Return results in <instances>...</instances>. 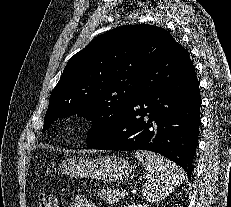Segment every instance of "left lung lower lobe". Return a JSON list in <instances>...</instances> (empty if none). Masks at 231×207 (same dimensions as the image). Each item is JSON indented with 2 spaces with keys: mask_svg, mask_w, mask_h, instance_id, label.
I'll use <instances>...</instances> for the list:
<instances>
[{
  "mask_svg": "<svg viewBox=\"0 0 231 207\" xmlns=\"http://www.w3.org/2000/svg\"><path fill=\"white\" fill-rule=\"evenodd\" d=\"M200 100L192 61L175 41L143 74L140 94L115 130L89 148L150 150L177 163L190 179L198 143Z\"/></svg>",
  "mask_w": 231,
  "mask_h": 207,
  "instance_id": "obj_1",
  "label": "left lung lower lobe"
}]
</instances>
